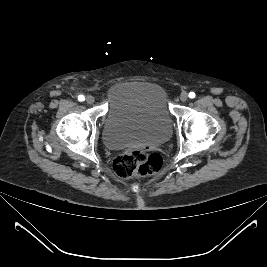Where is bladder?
Listing matches in <instances>:
<instances>
[{
	"mask_svg": "<svg viewBox=\"0 0 267 267\" xmlns=\"http://www.w3.org/2000/svg\"><path fill=\"white\" fill-rule=\"evenodd\" d=\"M172 132L166 90L149 81H123L108 93L102 127L104 144L120 149L138 143L160 144Z\"/></svg>",
	"mask_w": 267,
	"mask_h": 267,
	"instance_id": "1",
	"label": "bladder"
}]
</instances>
